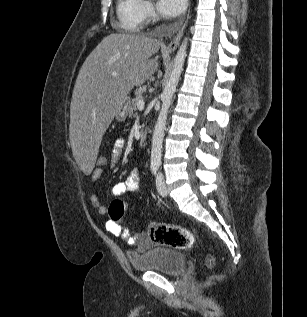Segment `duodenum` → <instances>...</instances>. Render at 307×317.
Wrapping results in <instances>:
<instances>
[{"label":"duodenum","mask_w":307,"mask_h":317,"mask_svg":"<svg viewBox=\"0 0 307 317\" xmlns=\"http://www.w3.org/2000/svg\"><path fill=\"white\" fill-rule=\"evenodd\" d=\"M138 140H139L140 143H144L145 140H146V132L141 131V132L138 134Z\"/></svg>","instance_id":"410a0bca"}]
</instances>
